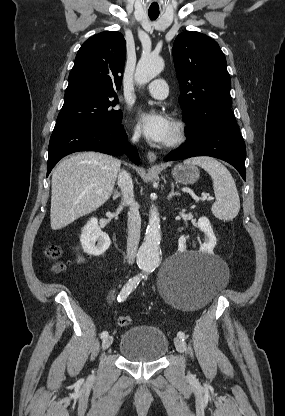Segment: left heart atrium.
Masks as SVG:
<instances>
[{
    "label": "left heart atrium",
    "mask_w": 285,
    "mask_h": 416,
    "mask_svg": "<svg viewBox=\"0 0 285 416\" xmlns=\"http://www.w3.org/2000/svg\"><path fill=\"white\" fill-rule=\"evenodd\" d=\"M145 137L158 144L166 143L172 135V122L163 111L143 110L138 114Z\"/></svg>",
    "instance_id": "left-heart-atrium-1"
}]
</instances>
